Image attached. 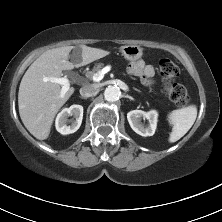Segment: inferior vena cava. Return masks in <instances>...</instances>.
<instances>
[{
	"label": "inferior vena cava",
	"instance_id": "obj_1",
	"mask_svg": "<svg viewBox=\"0 0 222 222\" xmlns=\"http://www.w3.org/2000/svg\"><path fill=\"white\" fill-rule=\"evenodd\" d=\"M98 91L96 84H87L80 88V94L84 98L94 96Z\"/></svg>",
	"mask_w": 222,
	"mask_h": 222
}]
</instances>
